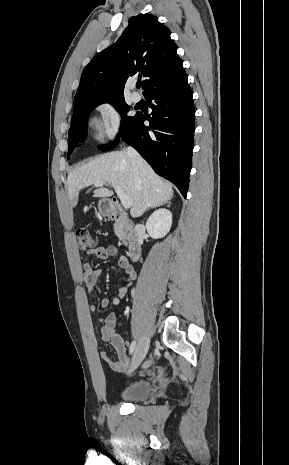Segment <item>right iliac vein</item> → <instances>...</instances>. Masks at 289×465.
Here are the masks:
<instances>
[{
    "mask_svg": "<svg viewBox=\"0 0 289 465\" xmlns=\"http://www.w3.org/2000/svg\"><path fill=\"white\" fill-rule=\"evenodd\" d=\"M148 349H149V337L144 336L141 338V340L139 341L135 349V352L132 358L131 368L128 372L129 374H131L140 365V363L145 358Z\"/></svg>",
    "mask_w": 289,
    "mask_h": 465,
    "instance_id": "right-iliac-vein-1",
    "label": "right iliac vein"
}]
</instances>
